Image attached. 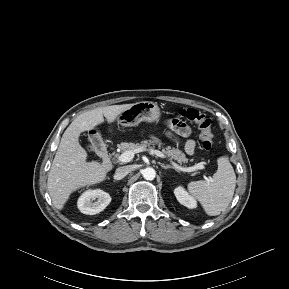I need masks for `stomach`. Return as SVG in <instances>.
<instances>
[{
    "label": "stomach",
    "instance_id": "1",
    "mask_svg": "<svg viewBox=\"0 0 289 289\" xmlns=\"http://www.w3.org/2000/svg\"><path fill=\"white\" fill-rule=\"evenodd\" d=\"M160 119V108L152 101H141L132 104L124 110L117 118L118 124L126 127L136 126L140 122H158Z\"/></svg>",
    "mask_w": 289,
    "mask_h": 289
}]
</instances>
